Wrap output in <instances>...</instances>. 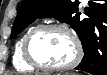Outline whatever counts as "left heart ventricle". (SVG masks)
<instances>
[{
    "label": "left heart ventricle",
    "mask_w": 107,
    "mask_h": 75,
    "mask_svg": "<svg viewBox=\"0 0 107 75\" xmlns=\"http://www.w3.org/2000/svg\"><path fill=\"white\" fill-rule=\"evenodd\" d=\"M32 55L47 65H64L74 57L71 39L63 32L49 30L39 33L31 42Z\"/></svg>",
    "instance_id": "obj_1"
}]
</instances>
